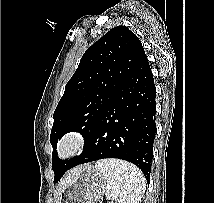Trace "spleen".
<instances>
[{"instance_id":"spleen-1","label":"spleen","mask_w":214,"mask_h":203,"mask_svg":"<svg viewBox=\"0 0 214 203\" xmlns=\"http://www.w3.org/2000/svg\"><path fill=\"white\" fill-rule=\"evenodd\" d=\"M95 168L108 179L107 200H113L115 203L141 202L146 189V179L136 166L122 160L104 159L97 161Z\"/></svg>"}]
</instances>
